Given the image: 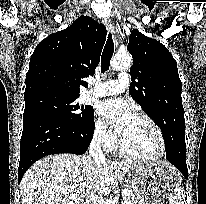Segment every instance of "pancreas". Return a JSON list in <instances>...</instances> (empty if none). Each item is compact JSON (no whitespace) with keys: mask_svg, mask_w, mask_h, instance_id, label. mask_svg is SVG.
<instances>
[{"mask_svg":"<svg viewBox=\"0 0 206 204\" xmlns=\"http://www.w3.org/2000/svg\"><path fill=\"white\" fill-rule=\"evenodd\" d=\"M126 189L129 190V193L123 197V204H139V198L133 193L131 187L127 186Z\"/></svg>","mask_w":206,"mask_h":204,"instance_id":"pancreas-1","label":"pancreas"}]
</instances>
